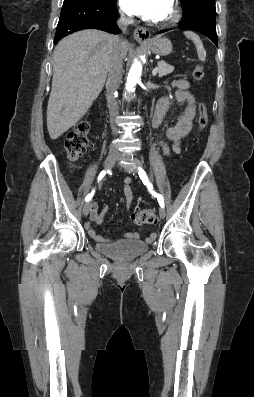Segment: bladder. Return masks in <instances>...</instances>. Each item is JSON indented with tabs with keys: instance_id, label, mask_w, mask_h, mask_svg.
<instances>
[{
	"instance_id": "31cf9c89",
	"label": "bladder",
	"mask_w": 254,
	"mask_h": 397,
	"mask_svg": "<svg viewBox=\"0 0 254 397\" xmlns=\"http://www.w3.org/2000/svg\"><path fill=\"white\" fill-rule=\"evenodd\" d=\"M96 249L110 258L129 260L145 253L148 250V244L143 240L133 239L113 243H98Z\"/></svg>"
}]
</instances>
